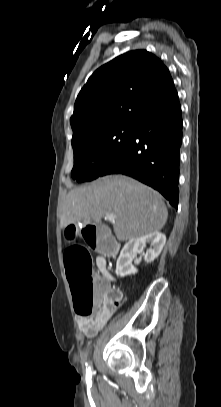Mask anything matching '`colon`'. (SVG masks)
<instances>
[{"label":"colon","mask_w":221,"mask_h":407,"mask_svg":"<svg viewBox=\"0 0 221 407\" xmlns=\"http://www.w3.org/2000/svg\"><path fill=\"white\" fill-rule=\"evenodd\" d=\"M70 230H63V239H74L75 234H81L85 246L96 249L97 255H112L114 234L105 222H86L78 225L72 222ZM65 268L70 283L75 310L79 316H91L103 306H116L120 299L99 286L93 273L92 260L89 251L81 245L69 247L65 253Z\"/></svg>","instance_id":"5ec220e1"}]
</instances>
